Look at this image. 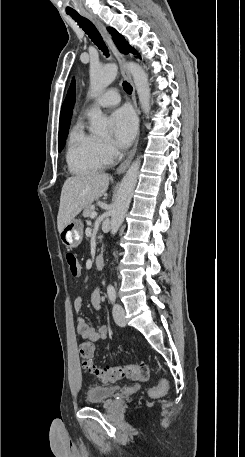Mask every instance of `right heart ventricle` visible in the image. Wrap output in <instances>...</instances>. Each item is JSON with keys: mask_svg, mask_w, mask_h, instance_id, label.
I'll list each match as a JSON object with an SVG mask.
<instances>
[{"mask_svg": "<svg viewBox=\"0 0 245 457\" xmlns=\"http://www.w3.org/2000/svg\"><path fill=\"white\" fill-rule=\"evenodd\" d=\"M99 142L96 137L86 132L81 123H75L68 139L71 167L85 171L103 169L109 161L101 153Z\"/></svg>", "mask_w": 245, "mask_h": 457, "instance_id": "obj_1", "label": "right heart ventricle"}]
</instances>
